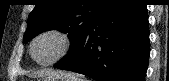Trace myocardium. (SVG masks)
<instances>
[{
  "label": "myocardium",
  "instance_id": "f54148a6",
  "mask_svg": "<svg viewBox=\"0 0 169 81\" xmlns=\"http://www.w3.org/2000/svg\"><path fill=\"white\" fill-rule=\"evenodd\" d=\"M47 35H52V36L59 38L62 42V48L59 54L54 59L48 62H39L33 56V48L38 39H40L41 37L47 36ZM71 46H72L71 36L63 30L53 28V29L42 31L41 33H39L38 35L34 37V39L32 40L30 44L29 53L34 63H36L37 65L41 67H49L59 62L62 58H64L67 55V53L70 51Z\"/></svg>",
  "mask_w": 169,
  "mask_h": 81
}]
</instances>
